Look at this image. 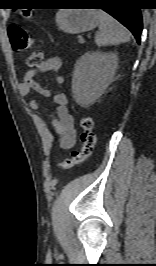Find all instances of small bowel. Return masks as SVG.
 Here are the masks:
<instances>
[{
    "label": "small bowel",
    "instance_id": "c3829d8e",
    "mask_svg": "<svg viewBox=\"0 0 156 266\" xmlns=\"http://www.w3.org/2000/svg\"><path fill=\"white\" fill-rule=\"evenodd\" d=\"M62 67V61L58 57H51L43 61L36 68L25 71L22 82L20 84V92L23 95H29L32 92L43 97H50L51 92L43 88L36 80L37 72H55L57 73ZM64 78L56 76L55 84L57 87L64 85ZM55 103V113L46 110L51 118L57 142L64 150H71L76 143V129L74 127V119L70 113L68 98L64 93H57L53 96ZM31 108L39 114L40 104L37 100L31 101Z\"/></svg>",
    "mask_w": 156,
    "mask_h": 266
}]
</instances>
